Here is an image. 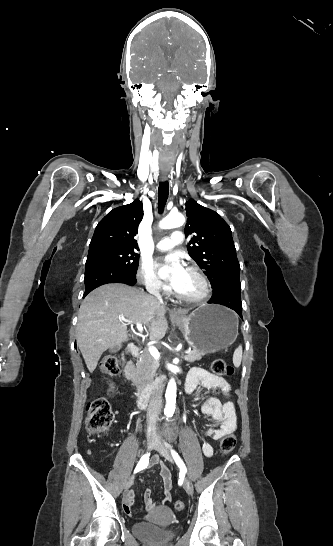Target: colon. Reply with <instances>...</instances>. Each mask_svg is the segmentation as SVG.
<instances>
[{
    "label": "colon",
    "mask_w": 333,
    "mask_h": 546,
    "mask_svg": "<svg viewBox=\"0 0 333 546\" xmlns=\"http://www.w3.org/2000/svg\"><path fill=\"white\" fill-rule=\"evenodd\" d=\"M213 373L217 376H231L234 369L223 359H215L211 364ZM99 370L108 375L115 376L119 372L118 360L113 355L104 356L99 363ZM215 392L218 389L214 388ZM113 419V414L107 399L97 398L87 405L86 430L89 434H98L105 431ZM237 444L236 436L233 433L226 434L220 442L222 454H229ZM183 501H176L174 507L180 511L184 509Z\"/></svg>",
    "instance_id": "5ec220e1"
}]
</instances>
